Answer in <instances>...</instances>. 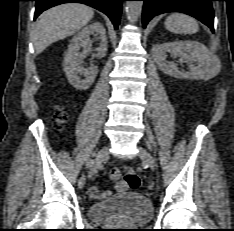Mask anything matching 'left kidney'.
I'll list each match as a JSON object with an SVG mask.
<instances>
[{"instance_id":"left-kidney-1","label":"left kidney","mask_w":234,"mask_h":231,"mask_svg":"<svg viewBox=\"0 0 234 231\" xmlns=\"http://www.w3.org/2000/svg\"><path fill=\"white\" fill-rule=\"evenodd\" d=\"M167 53L188 62L189 71L182 72L174 62H167L165 60ZM152 54L161 71L178 79L209 80L215 77L221 69L220 60L198 41L187 40L156 44L152 48Z\"/></svg>"}]
</instances>
